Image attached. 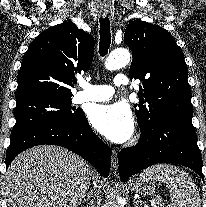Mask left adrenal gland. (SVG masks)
Instances as JSON below:
<instances>
[{"label":"left adrenal gland","instance_id":"a2214340","mask_svg":"<svg viewBox=\"0 0 206 207\" xmlns=\"http://www.w3.org/2000/svg\"><path fill=\"white\" fill-rule=\"evenodd\" d=\"M134 203H135V207H139L136 200H134Z\"/></svg>","mask_w":206,"mask_h":207}]
</instances>
